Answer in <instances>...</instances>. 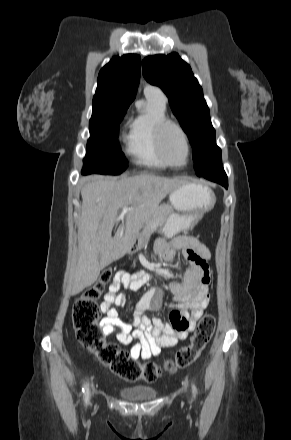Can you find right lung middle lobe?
<instances>
[{
  "instance_id": "obj_1",
  "label": "right lung middle lobe",
  "mask_w": 291,
  "mask_h": 440,
  "mask_svg": "<svg viewBox=\"0 0 291 440\" xmlns=\"http://www.w3.org/2000/svg\"><path fill=\"white\" fill-rule=\"evenodd\" d=\"M128 107L115 104L93 106L83 174L117 175L127 168L125 155L120 151L118 132Z\"/></svg>"
}]
</instances>
